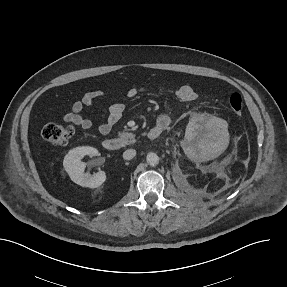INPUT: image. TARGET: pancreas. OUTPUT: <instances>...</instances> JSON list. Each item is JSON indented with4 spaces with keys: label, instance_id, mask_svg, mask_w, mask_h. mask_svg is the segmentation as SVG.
Segmentation results:
<instances>
[{
    "label": "pancreas",
    "instance_id": "cf45deb5",
    "mask_svg": "<svg viewBox=\"0 0 287 287\" xmlns=\"http://www.w3.org/2000/svg\"><path fill=\"white\" fill-rule=\"evenodd\" d=\"M125 144L135 143V135L133 133L122 132L118 134Z\"/></svg>",
    "mask_w": 287,
    "mask_h": 287
}]
</instances>
